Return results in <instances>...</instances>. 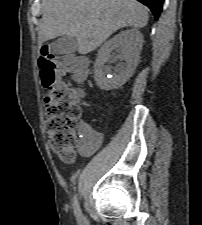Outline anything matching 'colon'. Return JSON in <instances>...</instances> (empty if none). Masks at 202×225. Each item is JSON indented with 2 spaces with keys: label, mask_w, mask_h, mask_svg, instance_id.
Returning a JSON list of instances; mask_svg holds the SVG:
<instances>
[{
  "label": "colon",
  "mask_w": 202,
  "mask_h": 225,
  "mask_svg": "<svg viewBox=\"0 0 202 225\" xmlns=\"http://www.w3.org/2000/svg\"><path fill=\"white\" fill-rule=\"evenodd\" d=\"M59 64L63 76L57 72ZM85 64L76 55L58 56L48 45L43 47L39 57L42 84L47 90L44 129L54 154L67 163L73 161L77 147L87 144L85 135L91 130L80 127L81 107L77 91L64 76L72 70H81Z\"/></svg>",
  "instance_id": "obj_1"
}]
</instances>
